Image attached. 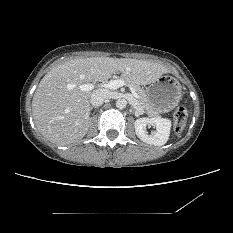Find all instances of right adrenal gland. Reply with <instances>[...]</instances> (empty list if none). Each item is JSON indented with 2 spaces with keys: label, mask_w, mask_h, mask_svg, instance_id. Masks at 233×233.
Masks as SVG:
<instances>
[{
  "label": "right adrenal gland",
  "mask_w": 233,
  "mask_h": 233,
  "mask_svg": "<svg viewBox=\"0 0 233 233\" xmlns=\"http://www.w3.org/2000/svg\"><path fill=\"white\" fill-rule=\"evenodd\" d=\"M93 108H96V107H94V106H91V107H90V110H92Z\"/></svg>",
  "instance_id": "1"
}]
</instances>
